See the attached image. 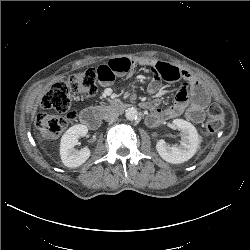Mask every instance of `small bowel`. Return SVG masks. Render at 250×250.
I'll list each match as a JSON object with an SVG mask.
<instances>
[{"label":"small bowel","instance_id":"small-bowel-1","mask_svg":"<svg viewBox=\"0 0 250 250\" xmlns=\"http://www.w3.org/2000/svg\"><path fill=\"white\" fill-rule=\"evenodd\" d=\"M135 69V62L128 58L111 59L97 68L98 80L103 86H109L117 76L131 75ZM153 79L147 87L150 94L158 93L162 87V81H181L182 86L175 98L174 104L166 107H158L159 100L152 103H144V106L155 107L148 121L158 124L167 119L176 118L185 114L190 121L199 123L204 118V108L208 103V95L201 82L190 72L172 66L164 62H158L152 66Z\"/></svg>","mask_w":250,"mask_h":250}]
</instances>
